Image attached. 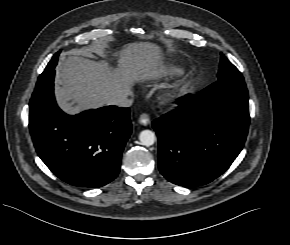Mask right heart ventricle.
<instances>
[{"label":"right heart ventricle","instance_id":"e07e8e85","mask_svg":"<svg viewBox=\"0 0 290 245\" xmlns=\"http://www.w3.org/2000/svg\"><path fill=\"white\" fill-rule=\"evenodd\" d=\"M183 73V68L176 64H169L166 66H163L157 70H155L151 77L153 78H163L167 76H175Z\"/></svg>","mask_w":290,"mask_h":245}]
</instances>
